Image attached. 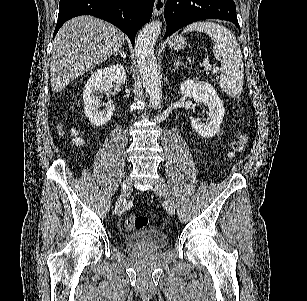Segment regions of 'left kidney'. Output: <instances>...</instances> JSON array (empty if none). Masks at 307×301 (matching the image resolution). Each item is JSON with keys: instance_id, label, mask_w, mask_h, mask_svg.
Masks as SVG:
<instances>
[{"instance_id": "5707ae66", "label": "left kidney", "mask_w": 307, "mask_h": 301, "mask_svg": "<svg viewBox=\"0 0 307 301\" xmlns=\"http://www.w3.org/2000/svg\"><path fill=\"white\" fill-rule=\"evenodd\" d=\"M180 90L182 96H192L195 102H203L208 108L209 116L207 122H200V118L190 116L191 126L203 138L215 136L216 132H219L225 108L221 98L216 94L214 86L206 82V80L187 78V80L182 82Z\"/></svg>"}]
</instances>
